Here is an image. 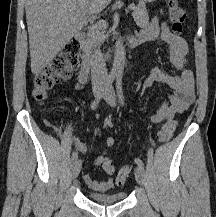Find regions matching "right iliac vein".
Returning a JSON list of instances; mask_svg holds the SVG:
<instances>
[{
    "mask_svg": "<svg viewBox=\"0 0 216 217\" xmlns=\"http://www.w3.org/2000/svg\"><path fill=\"white\" fill-rule=\"evenodd\" d=\"M103 92V88L102 87H97L94 89V95L96 97H99ZM81 167H82V162L81 160L79 159H76L73 164H72V167H71V173H72V177L73 178H76L80 171H81Z\"/></svg>",
    "mask_w": 216,
    "mask_h": 217,
    "instance_id": "63e3f726",
    "label": "right iliac vein"
}]
</instances>
